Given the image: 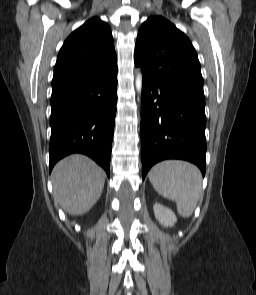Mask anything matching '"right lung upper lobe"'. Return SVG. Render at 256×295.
Listing matches in <instances>:
<instances>
[{"mask_svg": "<svg viewBox=\"0 0 256 295\" xmlns=\"http://www.w3.org/2000/svg\"><path fill=\"white\" fill-rule=\"evenodd\" d=\"M116 66L111 30L93 17L65 40L54 67L52 87Z\"/></svg>", "mask_w": 256, "mask_h": 295, "instance_id": "right-lung-upper-lobe-1", "label": "right lung upper lobe"}]
</instances>
